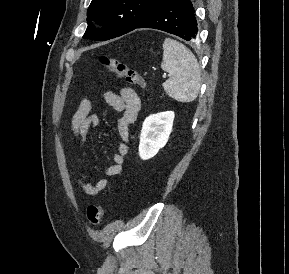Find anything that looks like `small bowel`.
I'll return each instance as SVG.
<instances>
[{"label":"small bowel","mask_w":289,"mask_h":274,"mask_svg":"<svg viewBox=\"0 0 289 274\" xmlns=\"http://www.w3.org/2000/svg\"><path fill=\"white\" fill-rule=\"evenodd\" d=\"M103 97L106 103L121 115L117 126L121 141L118 144L117 151L112 156L113 163L104 170L106 176H115L121 174L123 170L124 159L128 153L127 142L130 135V125L137 119L141 109V100L135 90L130 87L121 88L118 94L109 90L105 91ZM99 124V117L91 113L90 99L84 96L71 118V129L79 145L85 146L87 144L90 129L99 126ZM78 163L82 170L87 167L83 155L78 157ZM77 184L82 192L95 196L108 187L109 181L102 178L91 182L86 175L82 174L77 177Z\"/></svg>","instance_id":"c3829d8e"}]
</instances>
